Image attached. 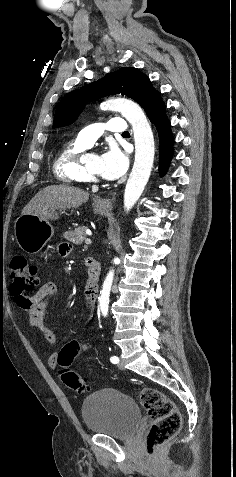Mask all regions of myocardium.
Wrapping results in <instances>:
<instances>
[{
  "label": "myocardium",
  "mask_w": 236,
  "mask_h": 477,
  "mask_svg": "<svg viewBox=\"0 0 236 477\" xmlns=\"http://www.w3.org/2000/svg\"><path fill=\"white\" fill-rule=\"evenodd\" d=\"M84 169H85V172L89 178L90 181H93V182H97V181H100L101 180V177L99 174L95 173L94 171H92L88 165H85L84 166Z\"/></svg>",
  "instance_id": "obj_1"
}]
</instances>
